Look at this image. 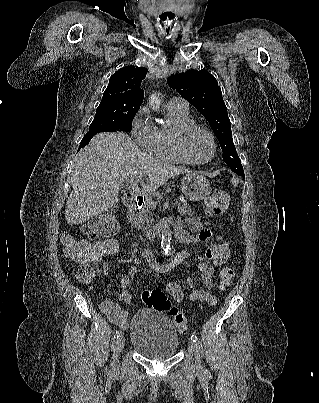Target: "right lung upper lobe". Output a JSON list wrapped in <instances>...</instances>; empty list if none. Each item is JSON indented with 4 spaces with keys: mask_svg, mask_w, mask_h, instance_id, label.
<instances>
[{
    "mask_svg": "<svg viewBox=\"0 0 319 403\" xmlns=\"http://www.w3.org/2000/svg\"><path fill=\"white\" fill-rule=\"evenodd\" d=\"M147 72L146 68L135 66L119 69L110 77L100 104L114 103L140 108L144 97L140 85Z\"/></svg>",
    "mask_w": 319,
    "mask_h": 403,
    "instance_id": "1",
    "label": "right lung upper lobe"
}]
</instances>
